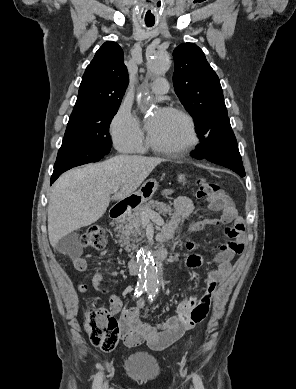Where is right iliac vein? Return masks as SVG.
<instances>
[{
    "instance_id": "obj_1",
    "label": "right iliac vein",
    "mask_w": 296,
    "mask_h": 389,
    "mask_svg": "<svg viewBox=\"0 0 296 389\" xmlns=\"http://www.w3.org/2000/svg\"><path fill=\"white\" fill-rule=\"evenodd\" d=\"M102 389H108V384L107 383H104L103 385V388Z\"/></svg>"
}]
</instances>
